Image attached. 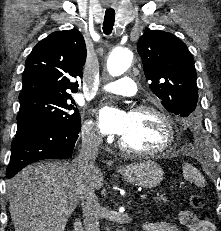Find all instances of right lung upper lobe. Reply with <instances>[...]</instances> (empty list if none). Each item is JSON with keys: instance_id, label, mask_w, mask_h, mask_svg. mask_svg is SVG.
<instances>
[{"instance_id": "1", "label": "right lung upper lobe", "mask_w": 221, "mask_h": 231, "mask_svg": "<svg viewBox=\"0 0 221 231\" xmlns=\"http://www.w3.org/2000/svg\"><path fill=\"white\" fill-rule=\"evenodd\" d=\"M86 45L77 29L56 31L38 42L29 54L23 72L19 99L37 96H67L77 92Z\"/></svg>"}]
</instances>
